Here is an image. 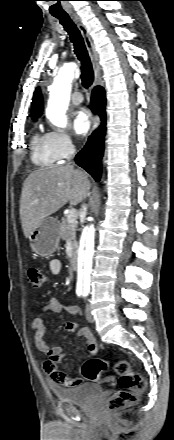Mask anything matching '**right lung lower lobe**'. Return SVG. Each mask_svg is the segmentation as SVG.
<instances>
[{"mask_svg":"<svg viewBox=\"0 0 174 440\" xmlns=\"http://www.w3.org/2000/svg\"><path fill=\"white\" fill-rule=\"evenodd\" d=\"M92 111L99 114L102 120L101 126L89 137L84 148L76 155V163L84 168L96 180H100V162L104 151L105 136V92L101 86L94 88L92 92Z\"/></svg>","mask_w":174,"mask_h":440,"instance_id":"1","label":"right lung lower lobe"}]
</instances>
